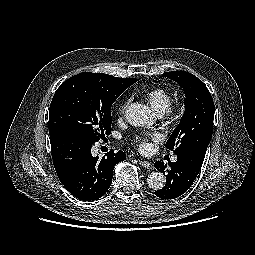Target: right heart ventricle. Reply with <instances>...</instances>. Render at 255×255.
Listing matches in <instances>:
<instances>
[{"label":"right heart ventricle","mask_w":255,"mask_h":255,"mask_svg":"<svg viewBox=\"0 0 255 255\" xmlns=\"http://www.w3.org/2000/svg\"><path fill=\"white\" fill-rule=\"evenodd\" d=\"M145 101L158 113L163 114L172 103L170 91L164 87H154L143 95Z\"/></svg>","instance_id":"e07e8e85"}]
</instances>
